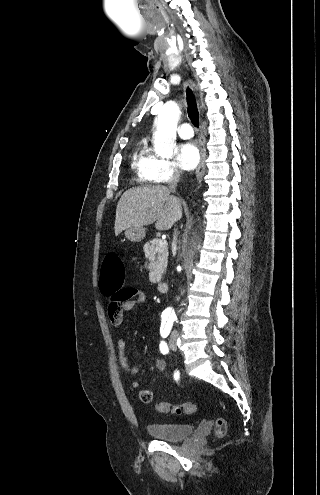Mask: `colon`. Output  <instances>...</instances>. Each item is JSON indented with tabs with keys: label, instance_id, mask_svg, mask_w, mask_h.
<instances>
[{
	"label": "colon",
	"instance_id": "1",
	"mask_svg": "<svg viewBox=\"0 0 320 495\" xmlns=\"http://www.w3.org/2000/svg\"><path fill=\"white\" fill-rule=\"evenodd\" d=\"M124 279L125 267L122 259L115 253L108 254L103 260L100 269V290L108 295L116 293L119 303H122L127 298V294L121 290ZM139 398L144 403H150L153 400V393L150 389H142L139 393ZM197 408V404L193 402L171 404L166 401H161L156 404V409L159 413H174L176 415L193 414L196 412ZM226 432V420L223 418L217 419L215 423V435L222 438L226 435Z\"/></svg>",
	"mask_w": 320,
	"mask_h": 495
}]
</instances>
